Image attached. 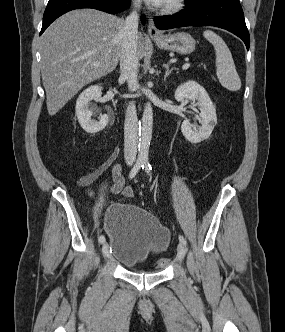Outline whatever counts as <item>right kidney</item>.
Instances as JSON below:
<instances>
[{
	"label": "right kidney",
	"instance_id": "right-kidney-1",
	"mask_svg": "<svg viewBox=\"0 0 285 332\" xmlns=\"http://www.w3.org/2000/svg\"><path fill=\"white\" fill-rule=\"evenodd\" d=\"M102 94L100 85H93L85 89L78 97L76 102V116L81 127L87 133H97L103 130L108 124V115L104 114L98 120L92 119L93 111L90 108V102L93 99H99Z\"/></svg>",
	"mask_w": 285,
	"mask_h": 332
}]
</instances>
